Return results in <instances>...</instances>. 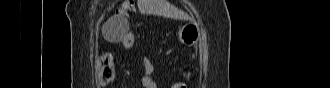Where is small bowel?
<instances>
[{
  "label": "small bowel",
  "instance_id": "c3829d8e",
  "mask_svg": "<svg viewBox=\"0 0 330 88\" xmlns=\"http://www.w3.org/2000/svg\"><path fill=\"white\" fill-rule=\"evenodd\" d=\"M141 65L143 68L142 83L148 88H154L153 74H154V65L152 61L146 57H141Z\"/></svg>",
  "mask_w": 330,
  "mask_h": 88
}]
</instances>
